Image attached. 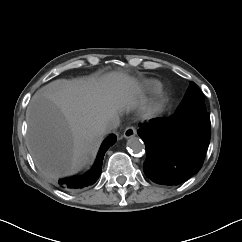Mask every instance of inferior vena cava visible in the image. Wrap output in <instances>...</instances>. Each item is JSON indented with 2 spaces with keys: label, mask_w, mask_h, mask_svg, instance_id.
<instances>
[{
  "label": "inferior vena cava",
  "mask_w": 242,
  "mask_h": 242,
  "mask_svg": "<svg viewBox=\"0 0 242 242\" xmlns=\"http://www.w3.org/2000/svg\"><path fill=\"white\" fill-rule=\"evenodd\" d=\"M119 125V117L113 116L107 120V122L104 125V131L106 133L116 129Z\"/></svg>",
  "instance_id": "obj_1"
}]
</instances>
